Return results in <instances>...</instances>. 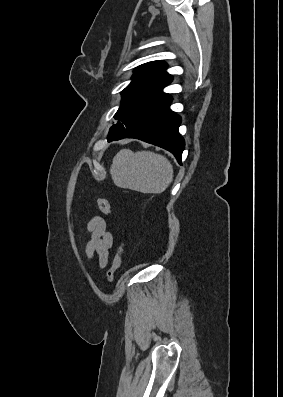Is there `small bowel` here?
<instances>
[{
    "instance_id": "obj_1",
    "label": "small bowel",
    "mask_w": 283,
    "mask_h": 397,
    "mask_svg": "<svg viewBox=\"0 0 283 397\" xmlns=\"http://www.w3.org/2000/svg\"><path fill=\"white\" fill-rule=\"evenodd\" d=\"M91 234L86 244L85 252L88 258L97 256L99 266L106 267L109 259L110 249L113 245V236L107 230L105 220L100 216H94L87 225Z\"/></svg>"
}]
</instances>
